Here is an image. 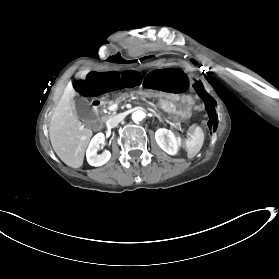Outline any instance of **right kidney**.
<instances>
[{"mask_svg": "<svg viewBox=\"0 0 279 279\" xmlns=\"http://www.w3.org/2000/svg\"><path fill=\"white\" fill-rule=\"evenodd\" d=\"M105 141V136L103 133L96 134L91 140L89 147L86 151V158L90 165L98 167L106 164L110 158L111 153L109 151H104L98 154L102 150L101 145Z\"/></svg>", "mask_w": 279, "mask_h": 279, "instance_id": "right-kidney-1", "label": "right kidney"}]
</instances>
